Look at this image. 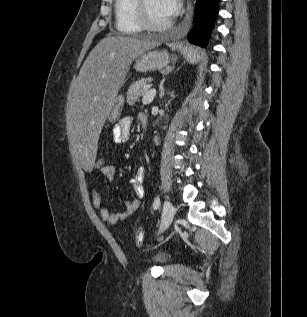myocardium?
Segmentation results:
<instances>
[{
	"mask_svg": "<svg viewBox=\"0 0 307 317\" xmlns=\"http://www.w3.org/2000/svg\"><path fill=\"white\" fill-rule=\"evenodd\" d=\"M136 12L140 25L148 31L161 32L166 30L172 24L171 20L162 24L154 23L148 15L146 0H136Z\"/></svg>",
	"mask_w": 307,
	"mask_h": 317,
	"instance_id": "1",
	"label": "myocardium"
}]
</instances>
